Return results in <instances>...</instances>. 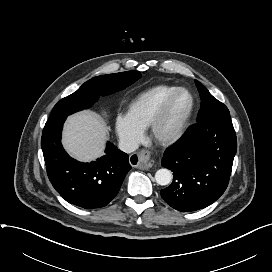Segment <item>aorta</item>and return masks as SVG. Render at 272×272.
Instances as JSON below:
<instances>
[{"label":"aorta","mask_w":272,"mask_h":272,"mask_svg":"<svg viewBox=\"0 0 272 272\" xmlns=\"http://www.w3.org/2000/svg\"><path fill=\"white\" fill-rule=\"evenodd\" d=\"M155 180L161 186L168 185L172 180V173L170 170L165 168L159 169L155 173Z\"/></svg>","instance_id":"obj_1"}]
</instances>
